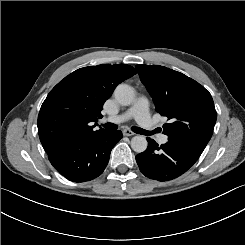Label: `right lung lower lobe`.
<instances>
[{
	"label": "right lung lower lobe",
	"mask_w": 245,
	"mask_h": 245,
	"mask_svg": "<svg viewBox=\"0 0 245 245\" xmlns=\"http://www.w3.org/2000/svg\"><path fill=\"white\" fill-rule=\"evenodd\" d=\"M121 138L120 130H104L60 144L47 154L54 168L68 180L90 181L103 173L112 148Z\"/></svg>",
	"instance_id": "right-lung-lower-lobe-1"
}]
</instances>
